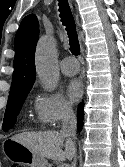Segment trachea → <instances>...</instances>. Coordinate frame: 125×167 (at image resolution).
<instances>
[{
  "label": "trachea",
  "instance_id": "1",
  "mask_svg": "<svg viewBox=\"0 0 125 167\" xmlns=\"http://www.w3.org/2000/svg\"><path fill=\"white\" fill-rule=\"evenodd\" d=\"M59 11L63 25L69 37L70 51L73 55H80V46L76 32V25L71 13L68 0H59Z\"/></svg>",
  "mask_w": 125,
  "mask_h": 167
}]
</instances>
